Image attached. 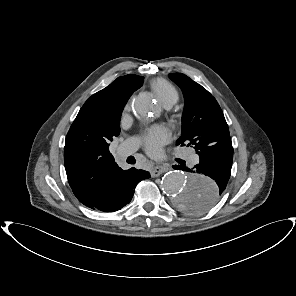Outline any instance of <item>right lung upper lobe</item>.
Returning a JSON list of instances; mask_svg holds the SVG:
<instances>
[{
	"mask_svg": "<svg viewBox=\"0 0 296 296\" xmlns=\"http://www.w3.org/2000/svg\"><path fill=\"white\" fill-rule=\"evenodd\" d=\"M143 77L126 75L87 99L65 141L64 163L70 187L88 204L121 168L109 152V141L120 133L123 108Z\"/></svg>",
	"mask_w": 296,
	"mask_h": 296,
	"instance_id": "obj_1",
	"label": "right lung upper lobe"
}]
</instances>
